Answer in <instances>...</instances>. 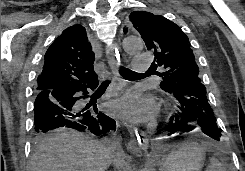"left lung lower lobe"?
I'll return each mask as SVG.
<instances>
[{
	"label": "left lung lower lobe",
	"instance_id": "1",
	"mask_svg": "<svg viewBox=\"0 0 245 171\" xmlns=\"http://www.w3.org/2000/svg\"><path fill=\"white\" fill-rule=\"evenodd\" d=\"M167 92L172 93L180 104L164 128L168 136L188 132L196 125L204 134L219 141L221 130L208 103L206 88L200 81L182 80Z\"/></svg>",
	"mask_w": 245,
	"mask_h": 171
}]
</instances>
